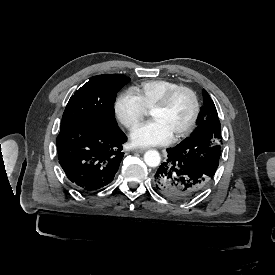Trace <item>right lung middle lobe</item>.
<instances>
[{"label": "right lung middle lobe", "instance_id": "obj_1", "mask_svg": "<svg viewBox=\"0 0 275 275\" xmlns=\"http://www.w3.org/2000/svg\"><path fill=\"white\" fill-rule=\"evenodd\" d=\"M129 81L130 78L122 74L92 77L71 96L61 124L85 123L102 131L118 128L114 118V102L117 92Z\"/></svg>", "mask_w": 275, "mask_h": 275}]
</instances>
